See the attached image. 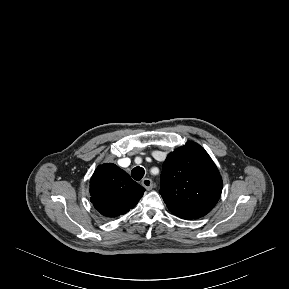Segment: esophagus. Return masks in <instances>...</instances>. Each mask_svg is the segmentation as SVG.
<instances>
[{
  "instance_id": "esophagus-1",
  "label": "esophagus",
  "mask_w": 289,
  "mask_h": 289,
  "mask_svg": "<svg viewBox=\"0 0 289 289\" xmlns=\"http://www.w3.org/2000/svg\"><path fill=\"white\" fill-rule=\"evenodd\" d=\"M141 184L143 185V187L146 189V190H151L153 188V182L151 179L149 178H144L141 182Z\"/></svg>"
}]
</instances>
